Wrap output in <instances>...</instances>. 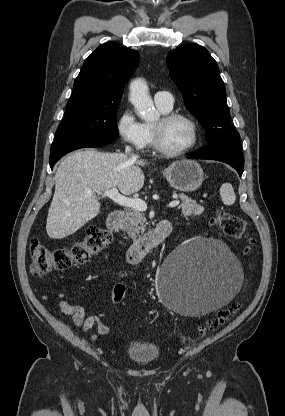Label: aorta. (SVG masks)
Masks as SVG:
<instances>
[{
    "label": "aorta",
    "mask_w": 285,
    "mask_h": 416,
    "mask_svg": "<svg viewBox=\"0 0 285 416\" xmlns=\"http://www.w3.org/2000/svg\"><path fill=\"white\" fill-rule=\"evenodd\" d=\"M130 101L138 115L145 121H154L158 113L154 108L149 89L143 79H135L130 84Z\"/></svg>",
    "instance_id": "aorta-1"
}]
</instances>
